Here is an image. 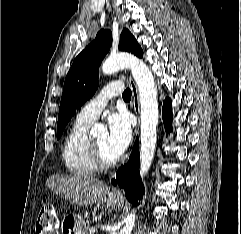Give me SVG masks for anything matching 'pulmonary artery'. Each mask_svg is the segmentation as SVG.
<instances>
[{"instance_id":"1","label":"pulmonary artery","mask_w":241,"mask_h":234,"mask_svg":"<svg viewBox=\"0 0 241 234\" xmlns=\"http://www.w3.org/2000/svg\"><path fill=\"white\" fill-rule=\"evenodd\" d=\"M122 92L123 86L121 83L112 82L107 84L96 97L78 112L76 119L82 122L93 123L106 107L108 101Z\"/></svg>"}]
</instances>
